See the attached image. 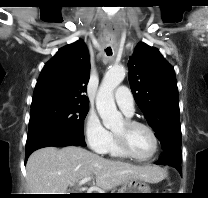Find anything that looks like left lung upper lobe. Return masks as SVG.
Masks as SVG:
<instances>
[{
  "instance_id": "left-lung-upper-lobe-1",
  "label": "left lung upper lobe",
  "mask_w": 208,
  "mask_h": 198,
  "mask_svg": "<svg viewBox=\"0 0 208 198\" xmlns=\"http://www.w3.org/2000/svg\"><path fill=\"white\" fill-rule=\"evenodd\" d=\"M129 82L135 101L155 131L164 152L181 158V127L176 77L158 49L139 43L129 57Z\"/></svg>"
}]
</instances>
